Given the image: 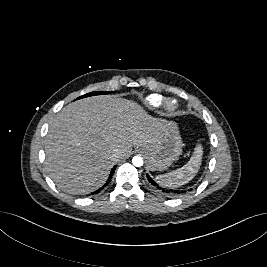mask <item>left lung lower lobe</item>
Returning a JSON list of instances; mask_svg holds the SVG:
<instances>
[{
  "label": "left lung lower lobe",
  "instance_id": "1",
  "mask_svg": "<svg viewBox=\"0 0 267 267\" xmlns=\"http://www.w3.org/2000/svg\"><path fill=\"white\" fill-rule=\"evenodd\" d=\"M147 179H148L149 183L153 187H155L157 190H159L161 193H163L165 195H168V196H177V195H180V194L186 192L185 190L183 191V190H178V189H168V188H165L163 185H161L158 181H155L149 175H147ZM189 191H191V189H189Z\"/></svg>",
  "mask_w": 267,
  "mask_h": 267
}]
</instances>
